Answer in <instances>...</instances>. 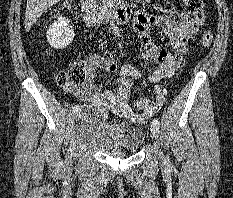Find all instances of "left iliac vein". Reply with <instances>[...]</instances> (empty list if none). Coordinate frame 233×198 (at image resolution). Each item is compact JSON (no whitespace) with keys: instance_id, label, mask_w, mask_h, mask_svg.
<instances>
[{"instance_id":"1","label":"left iliac vein","mask_w":233,"mask_h":198,"mask_svg":"<svg viewBox=\"0 0 233 198\" xmlns=\"http://www.w3.org/2000/svg\"><path fill=\"white\" fill-rule=\"evenodd\" d=\"M150 129H151L153 137L158 141L159 140V128L155 126L154 124H151ZM160 158L164 159V156L162 153H160Z\"/></svg>"}]
</instances>
